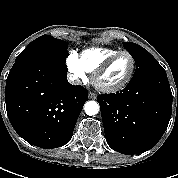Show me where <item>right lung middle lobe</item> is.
Instances as JSON below:
<instances>
[{
  "mask_svg": "<svg viewBox=\"0 0 178 178\" xmlns=\"http://www.w3.org/2000/svg\"><path fill=\"white\" fill-rule=\"evenodd\" d=\"M68 43L50 35H42L33 40L16 58L15 63H48L65 64ZM67 70V67H65Z\"/></svg>",
  "mask_w": 178,
  "mask_h": 178,
  "instance_id": "right-lung-middle-lobe-1",
  "label": "right lung middle lobe"
}]
</instances>
